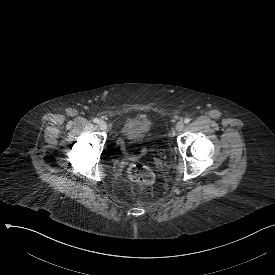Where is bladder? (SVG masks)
I'll return each instance as SVG.
<instances>
[{"instance_id": "bladder-1", "label": "bladder", "mask_w": 275, "mask_h": 275, "mask_svg": "<svg viewBox=\"0 0 275 275\" xmlns=\"http://www.w3.org/2000/svg\"><path fill=\"white\" fill-rule=\"evenodd\" d=\"M151 135V121L146 116L131 117L124 122L121 128V139L134 144L150 139Z\"/></svg>"}]
</instances>
